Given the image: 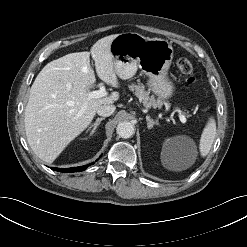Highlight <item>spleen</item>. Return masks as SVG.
Segmentation results:
<instances>
[{
	"mask_svg": "<svg viewBox=\"0 0 247 247\" xmlns=\"http://www.w3.org/2000/svg\"><path fill=\"white\" fill-rule=\"evenodd\" d=\"M215 137H216V122L213 117H210L203 129L199 143V150L201 156L205 157L206 155H208Z\"/></svg>",
	"mask_w": 247,
	"mask_h": 247,
	"instance_id": "spleen-1",
	"label": "spleen"
}]
</instances>
